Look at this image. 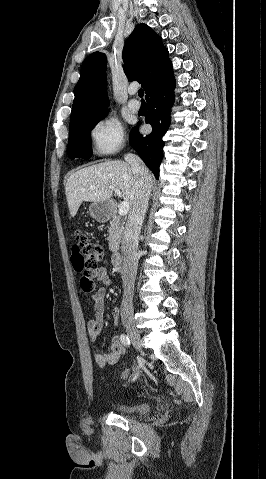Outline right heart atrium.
I'll return each mask as SVG.
<instances>
[{
    "label": "right heart atrium",
    "mask_w": 266,
    "mask_h": 479,
    "mask_svg": "<svg viewBox=\"0 0 266 479\" xmlns=\"http://www.w3.org/2000/svg\"><path fill=\"white\" fill-rule=\"evenodd\" d=\"M90 140L97 153H115L121 148L124 141L122 126L113 118L101 119L92 127Z\"/></svg>",
    "instance_id": "1"
}]
</instances>
